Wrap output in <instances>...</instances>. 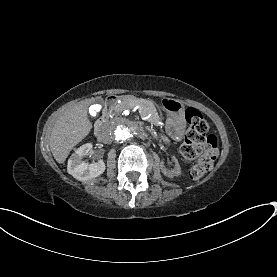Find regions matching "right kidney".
<instances>
[{
    "instance_id": "obj_1",
    "label": "right kidney",
    "mask_w": 277,
    "mask_h": 277,
    "mask_svg": "<svg viewBox=\"0 0 277 277\" xmlns=\"http://www.w3.org/2000/svg\"><path fill=\"white\" fill-rule=\"evenodd\" d=\"M92 144L80 146L68 160L67 172L79 181L98 177L105 171L103 160L89 164L83 158L92 150Z\"/></svg>"
}]
</instances>
